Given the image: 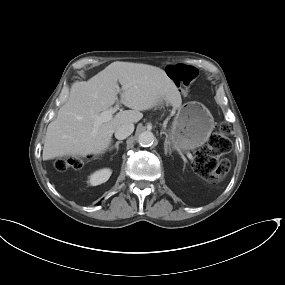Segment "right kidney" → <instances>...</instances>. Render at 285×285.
I'll list each match as a JSON object with an SVG mask.
<instances>
[{
  "mask_svg": "<svg viewBox=\"0 0 285 285\" xmlns=\"http://www.w3.org/2000/svg\"><path fill=\"white\" fill-rule=\"evenodd\" d=\"M112 171L108 168L98 170L91 174L89 177V183L92 186L100 185L102 183H105L111 176Z\"/></svg>",
  "mask_w": 285,
  "mask_h": 285,
  "instance_id": "ca27d5eb",
  "label": "right kidney"
}]
</instances>
